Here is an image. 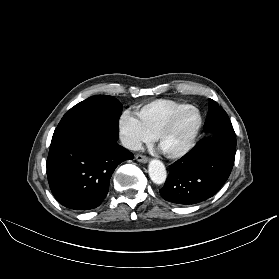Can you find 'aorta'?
I'll return each mask as SVG.
<instances>
[{
	"instance_id": "762f6f07",
	"label": "aorta",
	"mask_w": 279,
	"mask_h": 279,
	"mask_svg": "<svg viewBox=\"0 0 279 279\" xmlns=\"http://www.w3.org/2000/svg\"><path fill=\"white\" fill-rule=\"evenodd\" d=\"M148 173L150 176V179L155 183V184H162L165 182L167 173H166V168L164 164L157 159H153L149 162L148 166Z\"/></svg>"
}]
</instances>
